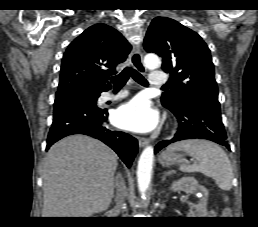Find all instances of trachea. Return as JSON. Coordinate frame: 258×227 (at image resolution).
I'll use <instances>...</instances> for the list:
<instances>
[{
    "label": "trachea",
    "instance_id": "trachea-1",
    "mask_svg": "<svg viewBox=\"0 0 258 227\" xmlns=\"http://www.w3.org/2000/svg\"><path fill=\"white\" fill-rule=\"evenodd\" d=\"M132 78L139 84L147 86V80L135 69L131 67H126L120 74L113 76L110 78V81L114 84L115 89L122 88L126 82L128 81L129 77ZM166 87V86H163Z\"/></svg>",
    "mask_w": 258,
    "mask_h": 227
}]
</instances>
